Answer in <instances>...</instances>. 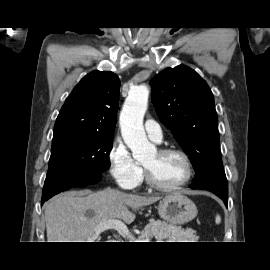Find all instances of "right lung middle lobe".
<instances>
[{
	"label": "right lung middle lobe",
	"instance_id": "1",
	"mask_svg": "<svg viewBox=\"0 0 270 270\" xmlns=\"http://www.w3.org/2000/svg\"><path fill=\"white\" fill-rule=\"evenodd\" d=\"M113 134L60 131L53 133L47 176L62 171L94 177L110 167Z\"/></svg>",
	"mask_w": 270,
	"mask_h": 270
}]
</instances>
